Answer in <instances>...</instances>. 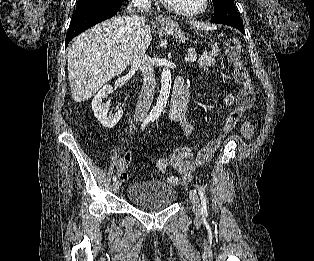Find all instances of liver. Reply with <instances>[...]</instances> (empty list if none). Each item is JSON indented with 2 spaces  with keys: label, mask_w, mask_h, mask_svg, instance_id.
I'll use <instances>...</instances> for the list:
<instances>
[{
  "label": "liver",
  "mask_w": 314,
  "mask_h": 261,
  "mask_svg": "<svg viewBox=\"0 0 314 261\" xmlns=\"http://www.w3.org/2000/svg\"><path fill=\"white\" fill-rule=\"evenodd\" d=\"M130 36L127 20L116 16L88 29L70 44L67 67L74 101L89 99L127 68ZM151 40L150 26H144L138 44L146 51Z\"/></svg>",
  "instance_id": "obj_1"
}]
</instances>
